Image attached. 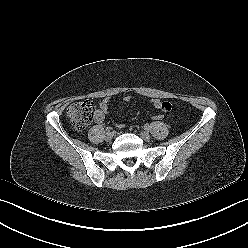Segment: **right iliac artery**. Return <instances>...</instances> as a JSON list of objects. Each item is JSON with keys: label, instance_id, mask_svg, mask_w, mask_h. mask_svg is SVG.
<instances>
[{"label": "right iliac artery", "instance_id": "1", "mask_svg": "<svg viewBox=\"0 0 248 248\" xmlns=\"http://www.w3.org/2000/svg\"><path fill=\"white\" fill-rule=\"evenodd\" d=\"M105 130H106L107 132H110V131L112 130V128H111L110 126H108V127L105 128Z\"/></svg>", "mask_w": 248, "mask_h": 248}]
</instances>
